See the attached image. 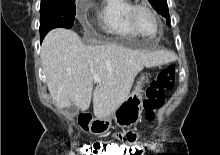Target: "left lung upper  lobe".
<instances>
[{
	"label": "left lung upper lobe",
	"mask_w": 220,
	"mask_h": 155,
	"mask_svg": "<svg viewBox=\"0 0 220 155\" xmlns=\"http://www.w3.org/2000/svg\"><path fill=\"white\" fill-rule=\"evenodd\" d=\"M154 9L167 19V24H170L169 11L167 0H149Z\"/></svg>",
	"instance_id": "left-lung-upper-lobe-1"
}]
</instances>
